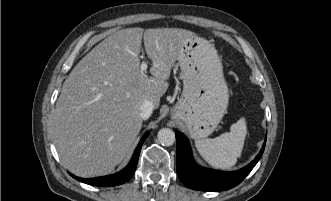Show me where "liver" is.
<instances>
[{"label": "liver", "instance_id": "6515ba94", "mask_svg": "<svg viewBox=\"0 0 331 201\" xmlns=\"http://www.w3.org/2000/svg\"><path fill=\"white\" fill-rule=\"evenodd\" d=\"M193 32L179 28L119 30L95 46L63 83L53 137L63 164L79 177L107 175L125 158L142 127L140 106L155 108ZM142 38L151 77L140 70Z\"/></svg>", "mask_w": 331, "mask_h": 201}]
</instances>
